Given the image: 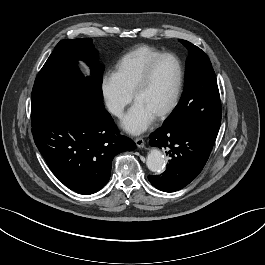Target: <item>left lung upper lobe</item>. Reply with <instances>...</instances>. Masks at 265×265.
Wrapping results in <instances>:
<instances>
[{
  "instance_id": "left-lung-upper-lobe-1",
  "label": "left lung upper lobe",
  "mask_w": 265,
  "mask_h": 265,
  "mask_svg": "<svg viewBox=\"0 0 265 265\" xmlns=\"http://www.w3.org/2000/svg\"><path fill=\"white\" fill-rule=\"evenodd\" d=\"M187 49L184 92L162 127L188 126L215 142L221 123V101L215 72L208 56L192 43Z\"/></svg>"
}]
</instances>
